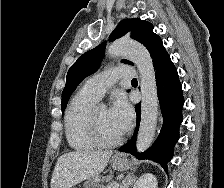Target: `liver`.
<instances>
[{
  "instance_id": "1",
  "label": "liver",
  "mask_w": 224,
  "mask_h": 188,
  "mask_svg": "<svg viewBox=\"0 0 224 188\" xmlns=\"http://www.w3.org/2000/svg\"><path fill=\"white\" fill-rule=\"evenodd\" d=\"M112 151H72L60 156L55 165L51 188H71L101 173Z\"/></svg>"
}]
</instances>
